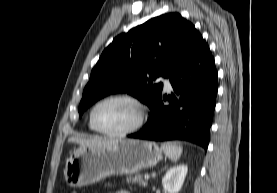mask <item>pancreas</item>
Returning a JSON list of instances; mask_svg holds the SVG:
<instances>
[{
  "instance_id": "pancreas-1",
  "label": "pancreas",
  "mask_w": 277,
  "mask_h": 193,
  "mask_svg": "<svg viewBox=\"0 0 277 193\" xmlns=\"http://www.w3.org/2000/svg\"><path fill=\"white\" fill-rule=\"evenodd\" d=\"M127 182L130 183H135L139 184L141 186L146 187L147 186V180H143V175L142 174H137L135 176L127 178Z\"/></svg>"
}]
</instances>
